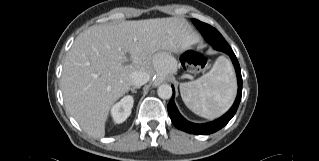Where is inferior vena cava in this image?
<instances>
[{
  "label": "inferior vena cava",
  "instance_id": "602c4592",
  "mask_svg": "<svg viewBox=\"0 0 319 161\" xmlns=\"http://www.w3.org/2000/svg\"><path fill=\"white\" fill-rule=\"evenodd\" d=\"M129 77L131 85L135 87H140L149 81V74L142 71L132 72Z\"/></svg>",
  "mask_w": 319,
  "mask_h": 161
}]
</instances>
